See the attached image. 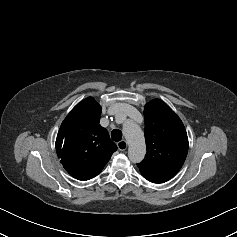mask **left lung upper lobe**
Instances as JSON below:
<instances>
[{"instance_id": "1", "label": "left lung upper lobe", "mask_w": 237, "mask_h": 237, "mask_svg": "<svg viewBox=\"0 0 237 237\" xmlns=\"http://www.w3.org/2000/svg\"><path fill=\"white\" fill-rule=\"evenodd\" d=\"M147 154L137 164L142 174L161 181L171 179L182 167L188 152V137L180 118L162 101L145 105Z\"/></svg>"}]
</instances>
